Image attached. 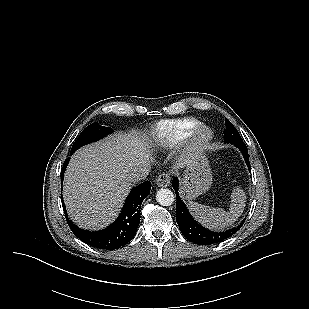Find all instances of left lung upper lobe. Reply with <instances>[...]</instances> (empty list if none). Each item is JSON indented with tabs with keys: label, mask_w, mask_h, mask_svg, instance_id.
<instances>
[{
	"label": "left lung upper lobe",
	"mask_w": 309,
	"mask_h": 309,
	"mask_svg": "<svg viewBox=\"0 0 309 309\" xmlns=\"http://www.w3.org/2000/svg\"><path fill=\"white\" fill-rule=\"evenodd\" d=\"M225 125H226V129L224 131L225 143L243 142L240 134L227 118L225 119Z\"/></svg>",
	"instance_id": "5c2ea615"
}]
</instances>
